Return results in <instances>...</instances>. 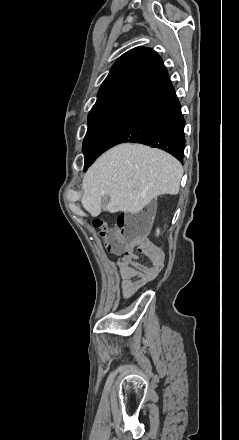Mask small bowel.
<instances>
[{"label":"small bowel","instance_id":"c3829d8e","mask_svg":"<svg viewBox=\"0 0 239 440\" xmlns=\"http://www.w3.org/2000/svg\"><path fill=\"white\" fill-rule=\"evenodd\" d=\"M136 249L148 258V264L139 260ZM118 264L123 279L121 289L125 297H130L158 276L164 266V255L161 250L145 242L123 251Z\"/></svg>","mask_w":239,"mask_h":440}]
</instances>
